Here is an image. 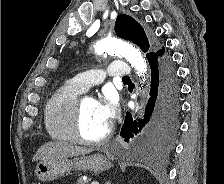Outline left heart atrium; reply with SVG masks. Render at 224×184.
<instances>
[{
  "instance_id": "obj_1",
  "label": "left heart atrium",
  "mask_w": 224,
  "mask_h": 184,
  "mask_svg": "<svg viewBox=\"0 0 224 184\" xmlns=\"http://www.w3.org/2000/svg\"><path fill=\"white\" fill-rule=\"evenodd\" d=\"M97 111L101 118L111 124L117 113V102L112 95H106L103 99L96 102Z\"/></svg>"
}]
</instances>
